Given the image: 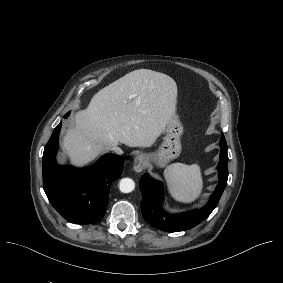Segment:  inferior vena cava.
<instances>
[{
    "label": "inferior vena cava",
    "instance_id": "602c4592",
    "mask_svg": "<svg viewBox=\"0 0 283 283\" xmlns=\"http://www.w3.org/2000/svg\"><path fill=\"white\" fill-rule=\"evenodd\" d=\"M112 149H113V151H114L115 153H117V154H119V155L123 154L122 149L119 148V147H117V146L113 147Z\"/></svg>",
    "mask_w": 283,
    "mask_h": 283
}]
</instances>
